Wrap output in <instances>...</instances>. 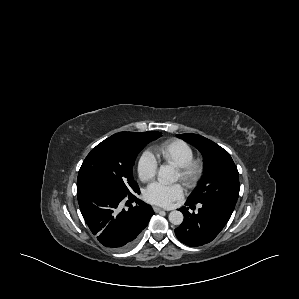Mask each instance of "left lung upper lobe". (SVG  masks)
Returning a JSON list of instances; mask_svg holds the SVG:
<instances>
[{"label": "left lung upper lobe", "mask_w": 299, "mask_h": 299, "mask_svg": "<svg viewBox=\"0 0 299 299\" xmlns=\"http://www.w3.org/2000/svg\"><path fill=\"white\" fill-rule=\"evenodd\" d=\"M203 155L204 175L188 202L214 203L233 212L239 196V173L229 153L213 141L197 134H178Z\"/></svg>", "instance_id": "5c2ea615"}]
</instances>
